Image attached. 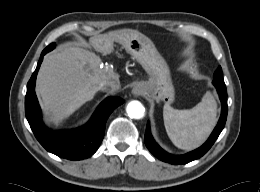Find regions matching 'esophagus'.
I'll return each mask as SVG.
<instances>
[{
  "instance_id": "1",
  "label": "esophagus",
  "mask_w": 260,
  "mask_h": 192,
  "mask_svg": "<svg viewBox=\"0 0 260 192\" xmlns=\"http://www.w3.org/2000/svg\"><path fill=\"white\" fill-rule=\"evenodd\" d=\"M142 92H143V90L140 86H135L133 88V94H135V95H140V94H142Z\"/></svg>"
}]
</instances>
